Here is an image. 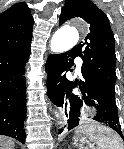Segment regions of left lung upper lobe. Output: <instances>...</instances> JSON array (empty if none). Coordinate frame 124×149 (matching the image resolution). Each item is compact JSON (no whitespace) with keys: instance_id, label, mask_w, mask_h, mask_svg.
<instances>
[{"instance_id":"1","label":"left lung upper lobe","mask_w":124,"mask_h":149,"mask_svg":"<svg viewBox=\"0 0 124 149\" xmlns=\"http://www.w3.org/2000/svg\"><path fill=\"white\" fill-rule=\"evenodd\" d=\"M83 18L89 25L84 41L71 50L83 60L86 75L115 93V38L105 13L90 0H66L60 25L73 17Z\"/></svg>"}]
</instances>
